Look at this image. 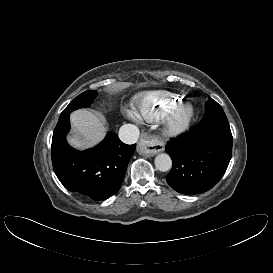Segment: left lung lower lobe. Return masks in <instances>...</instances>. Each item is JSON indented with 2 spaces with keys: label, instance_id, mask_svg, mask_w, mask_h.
<instances>
[{
  "label": "left lung lower lobe",
  "instance_id": "obj_1",
  "mask_svg": "<svg viewBox=\"0 0 273 273\" xmlns=\"http://www.w3.org/2000/svg\"><path fill=\"white\" fill-rule=\"evenodd\" d=\"M173 167L167 183L182 194L211 189L224 175L232 154V134L227 118H203L188 132L166 145Z\"/></svg>",
  "mask_w": 273,
  "mask_h": 273
}]
</instances>
